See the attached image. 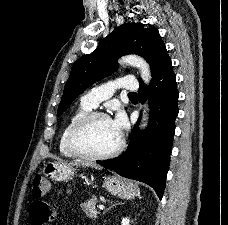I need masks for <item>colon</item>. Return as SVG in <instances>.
Wrapping results in <instances>:
<instances>
[{
	"mask_svg": "<svg viewBox=\"0 0 228 225\" xmlns=\"http://www.w3.org/2000/svg\"><path fill=\"white\" fill-rule=\"evenodd\" d=\"M53 183L48 181L43 175H36L32 183V196L36 200H41L50 192Z\"/></svg>",
	"mask_w": 228,
	"mask_h": 225,
	"instance_id": "1",
	"label": "colon"
}]
</instances>
